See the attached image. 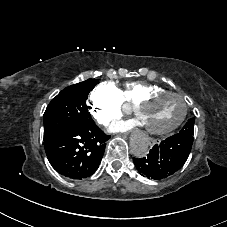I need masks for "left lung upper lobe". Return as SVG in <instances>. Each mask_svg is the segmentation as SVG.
I'll list each match as a JSON object with an SVG mask.
<instances>
[{"mask_svg":"<svg viewBox=\"0 0 227 227\" xmlns=\"http://www.w3.org/2000/svg\"><path fill=\"white\" fill-rule=\"evenodd\" d=\"M194 123H195V118H190L188 122L183 126V128L180 130L179 133L180 135H185V136H193L194 134Z\"/></svg>","mask_w":227,"mask_h":227,"instance_id":"1","label":"left lung upper lobe"}]
</instances>
